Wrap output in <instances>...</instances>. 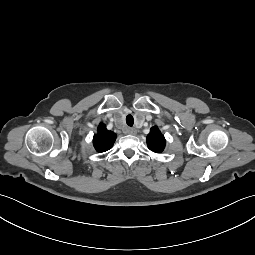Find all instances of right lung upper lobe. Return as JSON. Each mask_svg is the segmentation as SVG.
I'll return each instance as SVG.
<instances>
[{
	"label": "right lung upper lobe",
	"mask_w": 255,
	"mask_h": 255,
	"mask_svg": "<svg viewBox=\"0 0 255 255\" xmlns=\"http://www.w3.org/2000/svg\"><path fill=\"white\" fill-rule=\"evenodd\" d=\"M116 139V134L106 129L105 124L101 123L98 127V133L94 135L93 144L98 152H105L112 148Z\"/></svg>",
	"instance_id": "obj_1"
}]
</instances>
